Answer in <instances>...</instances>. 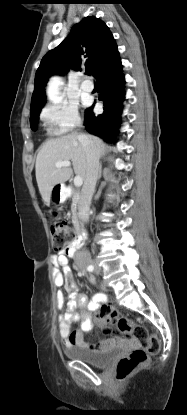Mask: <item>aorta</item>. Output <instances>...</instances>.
I'll use <instances>...</instances> for the list:
<instances>
[{"mask_svg":"<svg viewBox=\"0 0 187 415\" xmlns=\"http://www.w3.org/2000/svg\"><path fill=\"white\" fill-rule=\"evenodd\" d=\"M61 83L62 80L59 77H53L48 84L47 96L53 103H59L61 101V97L59 95V86Z\"/></svg>","mask_w":187,"mask_h":415,"instance_id":"aorta-1","label":"aorta"}]
</instances>
